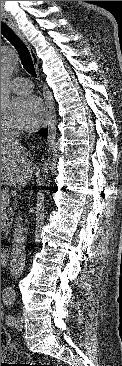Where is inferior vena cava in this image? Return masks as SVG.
Wrapping results in <instances>:
<instances>
[{"label": "inferior vena cava", "mask_w": 122, "mask_h": 366, "mask_svg": "<svg viewBox=\"0 0 122 366\" xmlns=\"http://www.w3.org/2000/svg\"><path fill=\"white\" fill-rule=\"evenodd\" d=\"M4 137L7 140V145L10 147H14L17 150H23L24 148L19 143V133L16 131H7L4 133ZM24 228L22 224V218L20 215L16 217V222L14 224L13 231V241H12V252H11V267L12 274L14 275L16 272V265L19 262L25 260V237L23 235Z\"/></svg>", "instance_id": "1"}]
</instances>
